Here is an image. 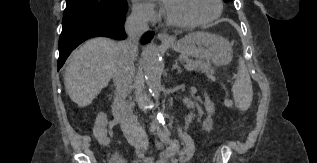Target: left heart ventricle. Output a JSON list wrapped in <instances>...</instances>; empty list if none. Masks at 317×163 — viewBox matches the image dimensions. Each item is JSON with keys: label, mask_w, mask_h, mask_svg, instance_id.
I'll return each mask as SVG.
<instances>
[{"label": "left heart ventricle", "mask_w": 317, "mask_h": 163, "mask_svg": "<svg viewBox=\"0 0 317 163\" xmlns=\"http://www.w3.org/2000/svg\"><path fill=\"white\" fill-rule=\"evenodd\" d=\"M162 3L174 18L185 22L209 18L216 11L215 0H162Z\"/></svg>", "instance_id": "obj_1"}]
</instances>
